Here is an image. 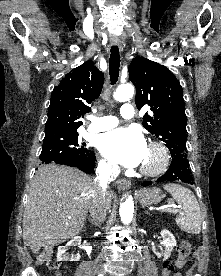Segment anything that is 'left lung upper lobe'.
<instances>
[{
    "mask_svg": "<svg viewBox=\"0 0 221 276\" xmlns=\"http://www.w3.org/2000/svg\"><path fill=\"white\" fill-rule=\"evenodd\" d=\"M129 74L137 108L149 105L153 112L144 115L143 126L165 142L172 157H187V117L179 81L167 67L140 56L132 60Z\"/></svg>",
    "mask_w": 221,
    "mask_h": 276,
    "instance_id": "1",
    "label": "left lung upper lobe"
}]
</instances>
